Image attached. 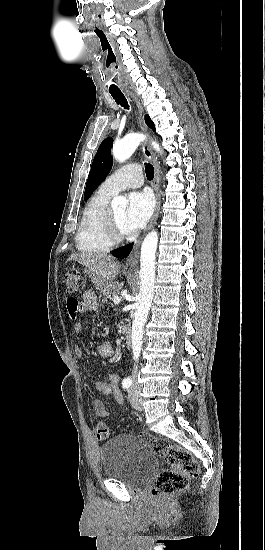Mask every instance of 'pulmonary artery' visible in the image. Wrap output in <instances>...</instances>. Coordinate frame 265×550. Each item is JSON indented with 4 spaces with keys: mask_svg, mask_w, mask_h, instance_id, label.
I'll use <instances>...</instances> for the list:
<instances>
[{
    "mask_svg": "<svg viewBox=\"0 0 265 550\" xmlns=\"http://www.w3.org/2000/svg\"><path fill=\"white\" fill-rule=\"evenodd\" d=\"M141 167L137 162L127 164L105 179L101 188L113 195L128 188H137L143 184Z\"/></svg>",
    "mask_w": 265,
    "mask_h": 550,
    "instance_id": "1",
    "label": "pulmonary artery"
}]
</instances>
